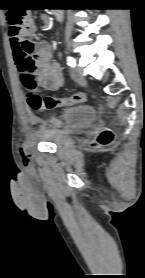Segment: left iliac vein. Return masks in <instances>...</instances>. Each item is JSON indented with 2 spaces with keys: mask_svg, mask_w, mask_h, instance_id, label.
<instances>
[{
  "mask_svg": "<svg viewBox=\"0 0 145 278\" xmlns=\"http://www.w3.org/2000/svg\"><path fill=\"white\" fill-rule=\"evenodd\" d=\"M71 76L74 79V81H76V82H84L85 81V77L83 75V71L81 68L73 69L71 71Z\"/></svg>",
  "mask_w": 145,
  "mask_h": 278,
  "instance_id": "4c4485c4",
  "label": "left iliac vein"
}]
</instances>
